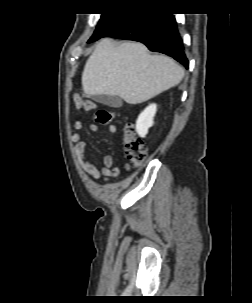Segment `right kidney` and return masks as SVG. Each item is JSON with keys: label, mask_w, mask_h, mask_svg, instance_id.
<instances>
[{"label": "right kidney", "mask_w": 252, "mask_h": 303, "mask_svg": "<svg viewBox=\"0 0 252 303\" xmlns=\"http://www.w3.org/2000/svg\"><path fill=\"white\" fill-rule=\"evenodd\" d=\"M157 111L156 104H150L145 110L139 115L136 121V131L140 137H145L148 133V129L154 123V116Z\"/></svg>", "instance_id": "obj_1"}]
</instances>
